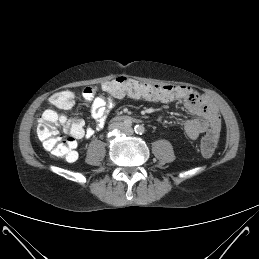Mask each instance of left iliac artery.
Segmentation results:
<instances>
[{"instance_id":"1","label":"left iliac artery","mask_w":259,"mask_h":259,"mask_svg":"<svg viewBox=\"0 0 259 259\" xmlns=\"http://www.w3.org/2000/svg\"><path fill=\"white\" fill-rule=\"evenodd\" d=\"M134 131L137 133V134H144L145 133V128L142 126V125H136L134 127Z\"/></svg>"}]
</instances>
